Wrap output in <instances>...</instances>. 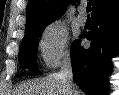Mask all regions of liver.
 I'll return each instance as SVG.
<instances>
[{
	"label": "liver",
	"mask_w": 119,
	"mask_h": 95,
	"mask_svg": "<svg viewBox=\"0 0 119 95\" xmlns=\"http://www.w3.org/2000/svg\"><path fill=\"white\" fill-rule=\"evenodd\" d=\"M18 93V95H69L66 84L58 77V73L27 82L20 86ZM79 93L83 95L81 91Z\"/></svg>",
	"instance_id": "obj_1"
}]
</instances>
